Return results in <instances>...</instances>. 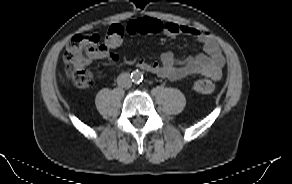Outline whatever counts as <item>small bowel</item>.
I'll return each mask as SVG.
<instances>
[{
    "mask_svg": "<svg viewBox=\"0 0 292 184\" xmlns=\"http://www.w3.org/2000/svg\"><path fill=\"white\" fill-rule=\"evenodd\" d=\"M145 19L153 18L140 17L130 20L126 23L124 30L130 35L142 34L140 23ZM153 20L159 22L161 26L160 33L166 36L175 37L184 34L197 39L203 45L204 53H199L184 61H179L171 51H166L161 54L160 62L148 63L144 59H140L137 62L140 69L172 81L181 80L193 75L208 76L214 80H219L222 77L225 58L218 43L208 32L188 25L157 19ZM95 58H108L112 63L118 60L116 54H110L107 51Z\"/></svg>",
    "mask_w": 292,
    "mask_h": 184,
    "instance_id": "small-bowel-1",
    "label": "small bowel"
}]
</instances>
